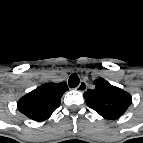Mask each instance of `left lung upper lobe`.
Instances as JSON below:
<instances>
[{
    "label": "left lung upper lobe",
    "mask_w": 143,
    "mask_h": 143,
    "mask_svg": "<svg viewBox=\"0 0 143 143\" xmlns=\"http://www.w3.org/2000/svg\"><path fill=\"white\" fill-rule=\"evenodd\" d=\"M95 88L84 93L85 101L91 109L106 119H117L132 103L130 94L111 85L103 78L94 81Z\"/></svg>",
    "instance_id": "left-lung-upper-lobe-1"
}]
</instances>
